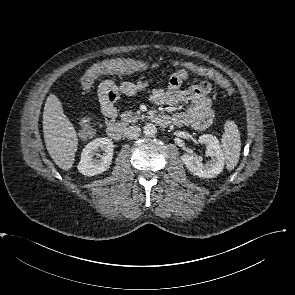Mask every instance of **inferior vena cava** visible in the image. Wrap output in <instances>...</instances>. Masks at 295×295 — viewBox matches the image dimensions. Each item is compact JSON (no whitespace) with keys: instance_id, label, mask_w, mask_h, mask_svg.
Returning <instances> with one entry per match:
<instances>
[{"instance_id":"obj_1","label":"inferior vena cava","mask_w":295,"mask_h":295,"mask_svg":"<svg viewBox=\"0 0 295 295\" xmlns=\"http://www.w3.org/2000/svg\"><path fill=\"white\" fill-rule=\"evenodd\" d=\"M141 129L137 126H129L125 130V137L128 139H137L140 136Z\"/></svg>"}]
</instances>
